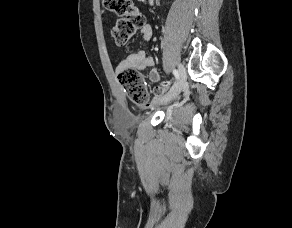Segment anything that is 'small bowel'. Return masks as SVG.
I'll list each match as a JSON object with an SVG mask.
<instances>
[{
	"label": "small bowel",
	"mask_w": 292,
	"mask_h": 228,
	"mask_svg": "<svg viewBox=\"0 0 292 228\" xmlns=\"http://www.w3.org/2000/svg\"><path fill=\"white\" fill-rule=\"evenodd\" d=\"M140 33L145 41H150L153 37V30L150 24L145 23L144 26L140 28ZM147 68H150L149 79L158 85L153 90L155 95L154 99L151 102L146 101L142 106L146 108H154L162 103L163 96L169 87V83L161 79L158 70L154 67V59L150 54L144 50H138L137 52L128 55L117 65L116 72L120 73L125 69H136L142 71Z\"/></svg>",
	"instance_id": "small-bowel-1"
}]
</instances>
